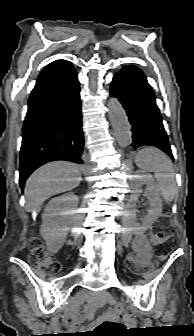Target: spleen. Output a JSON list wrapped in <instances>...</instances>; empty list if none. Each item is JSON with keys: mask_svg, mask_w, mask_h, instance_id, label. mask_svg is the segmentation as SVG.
<instances>
[{"mask_svg": "<svg viewBox=\"0 0 194 336\" xmlns=\"http://www.w3.org/2000/svg\"><path fill=\"white\" fill-rule=\"evenodd\" d=\"M136 165L146 172H154L158 189L166 202L177 195L175 173L171 160L159 149L145 147L135 157Z\"/></svg>", "mask_w": 194, "mask_h": 336, "instance_id": "spleen-1", "label": "spleen"}]
</instances>
